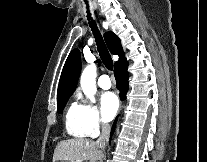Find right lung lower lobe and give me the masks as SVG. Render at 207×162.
<instances>
[{
  "label": "right lung lower lobe",
  "mask_w": 207,
  "mask_h": 162,
  "mask_svg": "<svg viewBox=\"0 0 207 162\" xmlns=\"http://www.w3.org/2000/svg\"><path fill=\"white\" fill-rule=\"evenodd\" d=\"M127 62L119 65L118 67H116L114 69V75H115V79H116V85L117 88L120 91V98L122 100L125 99L126 97V92L128 90V72H127ZM117 121V118L113 124L112 127V131L111 134L113 133L114 127H115V123Z\"/></svg>",
  "instance_id": "1"
}]
</instances>
